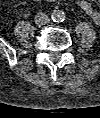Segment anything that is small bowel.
I'll use <instances>...</instances> for the list:
<instances>
[{
    "label": "small bowel",
    "mask_w": 100,
    "mask_h": 118,
    "mask_svg": "<svg viewBox=\"0 0 100 118\" xmlns=\"http://www.w3.org/2000/svg\"><path fill=\"white\" fill-rule=\"evenodd\" d=\"M34 2H41L43 0H33ZM55 2L56 0H47ZM100 2V0H98ZM78 6L97 24H100V12L96 10L88 0H77Z\"/></svg>",
    "instance_id": "small-bowel-1"
}]
</instances>
